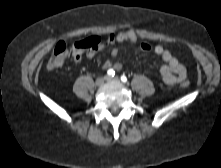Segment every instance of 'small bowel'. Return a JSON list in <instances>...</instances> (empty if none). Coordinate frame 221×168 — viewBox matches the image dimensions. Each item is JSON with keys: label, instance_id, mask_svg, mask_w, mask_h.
Segmentation results:
<instances>
[{"label": "small bowel", "instance_id": "small-bowel-1", "mask_svg": "<svg viewBox=\"0 0 221 168\" xmlns=\"http://www.w3.org/2000/svg\"><path fill=\"white\" fill-rule=\"evenodd\" d=\"M139 49L143 52H148L152 50L156 55L160 56L163 59L165 63L160 67V74L162 76L163 82L166 85L173 86L186 78V68L168 49L164 48L161 45H156L152 47L147 42H141L139 45ZM97 50L98 48L88 51L87 57L93 58ZM118 52V48L116 47H113L110 51L111 56L113 57L117 56ZM103 68L119 71L122 68V64L119 61L107 60L103 63Z\"/></svg>", "mask_w": 221, "mask_h": 168}]
</instances>
